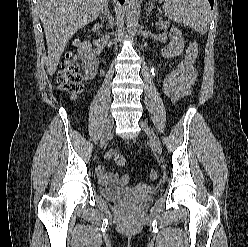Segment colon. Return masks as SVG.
Returning <instances> with one entry per match:
<instances>
[{
    "instance_id": "1",
    "label": "colon",
    "mask_w": 248,
    "mask_h": 247,
    "mask_svg": "<svg viewBox=\"0 0 248 247\" xmlns=\"http://www.w3.org/2000/svg\"><path fill=\"white\" fill-rule=\"evenodd\" d=\"M198 54V46L196 43H191L188 47V54L184 57L183 61L172 71L163 81L162 93L165 98L173 100L179 90V83L182 74L195 64ZM58 85L61 90L70 93L72 96H77L83 88L81 76L77 67V55L71 52L65 58L62 69L58 77ZM106 157L113 159L117 165L125 166L126 161L118 152L110 150ZM151 179L157 178V172L152 171L150 174Z\"/></svg>"
}]
</instances>
